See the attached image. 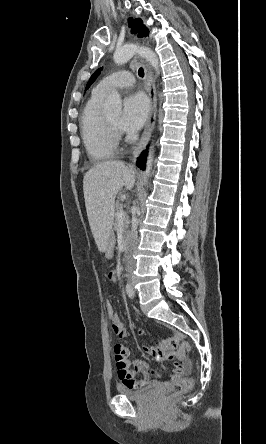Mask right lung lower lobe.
<instances>
[{
    "instance_id": "obj_1",
    "label": "right lung lower lobe",
    "mask_w": 266,
    "mask_h": 444,
    "mask_svg": "<svg viewBox=\"0 0 266 444\" xmlns=\"http://www.w3.org/2000/svg\"><path fill=\"white\" fill-rule=\"evenodd\" d=\"M146 152L144 151L141 156L138 158L137 165L140 169L144 170L146 163Z\"/></svg>"
}]
</instances>
